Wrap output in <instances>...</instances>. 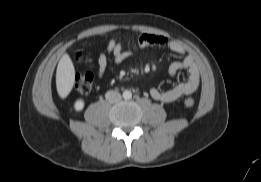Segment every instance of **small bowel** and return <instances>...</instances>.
Segmentation results:
<instances>
[{
	"mask_svg": "<svg viewBox=\"0 0 261 182\" xmlns=\"http://www.w3.org/2000/svg\"><path fill=\"white\" fill-rule=\"evenodd\" d=\"M148 47H164L183 56L182 60L175 61L169 66V74L171 76H176L181 70L187 71L186 80L169 89L159 90L152 88L150 95L154 100L166 103L173 102L181 96L194 93L198 89L200 84L199 67L194 57L187 52L185 47L176 40L147 33L140 35L129 49H124L121 42L110 39L105 50L98 52L97 77L99 79L103 78L108 70H112L114 66L123 63L130 58L136 50ZM110 64L111 67H109Z\"/></svg>",
	"mask_w": 261,
	"mask_h": 182,
	"instance_id": "obj_1",
	"label": "small bowel"
}]
</instances>
